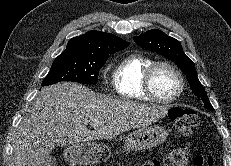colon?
I'll use <instances>...</instances> for the list:
<instances>
[{"label": "colon", "instance_id": "colon-1", "mask_svg": "<svg viewBox=\"0 0 231 166\" xmlns=\"http://www.w3.org/2000/svg\"><path fill=\"white\" fill-rule=\"evenodd\" d=\"M168 115L174 122L178 132L189 136L198 123V114L196 111L187 108H172ZM188 149L180 146L172 150L164 159L163 166H188ZM195 166H212L210 157L197 155L194 158ZM140 166H161L158 160H147Z\"/></svg>", "mask_w": 231, "mask_h": 166}]
</instances>
